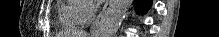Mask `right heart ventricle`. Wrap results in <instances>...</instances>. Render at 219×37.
<instances>
[{
	"label": "right heart ventricle",
	"instance_id": "e07e8e85",
	"mask_svg": "<svg viewBox=\"0 0 219 37\" xmlns=\"http://www.w3.org/2000/svg\"><path fill=\"white\" fill-rule=\"evenodd\" d=\"M81 8L76 1L69 4H62L59 7L58 24L63 28H77L80 27L83 22L79 18V12Z\"/></svg>",
	"mask_w": 219,
	"mask_h": 37
}]
</instances>
